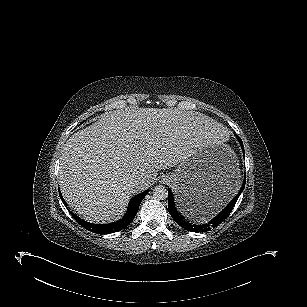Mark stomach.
<instances>
[{
	"label": "stomach",
	"instance_id": "stomach-1",
	"mask_svg": "<svg viewBox=\"0 0 307 307\" xmlns=\"http://www.w3.org/2000/svg\"><path fill=\"white\" fill-rule=\"evenodd\" d=\"M169 180L180 211L188 217L224 206L239 187L236 154L220 144L197 148L178 163Z\"/></svg>",
	"mask_w": 307,
	"mask_h": 307
}]
</instances>
